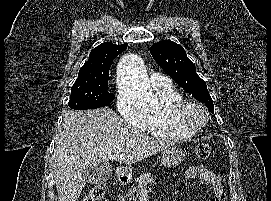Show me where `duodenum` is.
I'll return each instance as SVG.
<instances>
[{
	"label": "duodenum",
	"instance_id": "obj_1",
	"mask_svg": "<svg viewBox=\"0 0 271 201\" xmlns=\"http://www.w3.org/2000/svg\"><path fill=\"white\" fill-rule=\"evenodd\" d=\"M117 180L119 183H125L127 181L126 174L122 171H118L117 172Z\"/></svg>",
	"mask_w": 271,
	"mask_h": 201
}]
</instances>
